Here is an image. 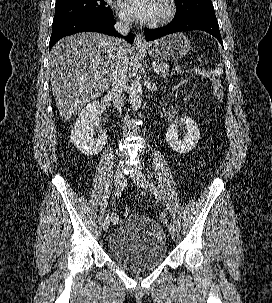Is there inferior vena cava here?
<instances>
[{
    "label": "inferior vena cava",
    "mask_w": 272,
    "mask_h": 303,
    "mask_svg": "<svg viewBox=\"0 0 272 303\" xmlns=\"http://www.w3.org/2000/svg\"><path fill=\"white\" fill-rule=\"evenodd\" d=\"M115 29L121 35L126 36L130 31V20L127 18H122V21L115 24ZM114 41L117 45V54L112 74V87L110 96L113 99L114 106L119 110V112H121V95L127 80L128 56L125 51V41L118 38H115Z\"/></svg>",
    "instance_id": "inferior-vena-cava-1"
}]
</instances>
